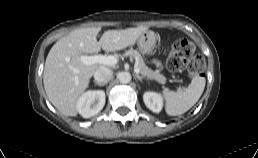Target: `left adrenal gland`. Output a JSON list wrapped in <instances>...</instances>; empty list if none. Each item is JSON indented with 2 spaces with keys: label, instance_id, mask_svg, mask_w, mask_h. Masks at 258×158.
<instances>
[{
  "label": "left adrenal gland",
  "instance_id": "obj_1",
  "mask_svg": "<svg viewBox=\"0 0 258 158\" xmlns=\"http://www.w3.org/2000/svg\"><path fill=\"white\" fill-rule=\"evenodd\" d=\"M135 76H136V78H138L140 81H142L143 79H144V77L143 76H140L139 74H135Z\"/></svg>",
  "mask_w": 258,
  "mask_h": 158
}]
</instances>
